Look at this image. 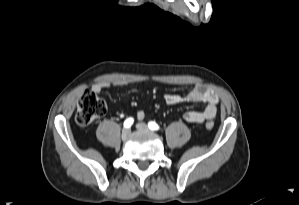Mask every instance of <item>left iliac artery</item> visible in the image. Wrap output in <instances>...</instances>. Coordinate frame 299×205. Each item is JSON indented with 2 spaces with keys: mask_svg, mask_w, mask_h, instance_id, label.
Here are the masks:
<instances>
[{
  "mask_svg": "<svg viewBox=\"0 0 299 205\" xmlns=\"http://www.w3.org/2000/svg\"><path fill=\"white\" fill-rule=\"evenodd\" d=\"M148 127H149V129H151V130H159V126H158L155 122H153V121H150V122L148 123Z\"/></svg>",
  "mask_w": 299,
  "mask_h": 205,
  "instance_id": "44dca946",
  "label": "left iliac artery"
}]
</instances>
